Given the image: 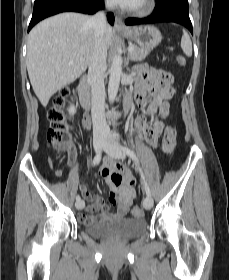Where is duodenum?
Here are the masks:
<instances>
[{"instance_id": "duodenum-1", "label": "duodenum", "mask_w": 229, "mask_h": 280, "mask_svg": "<svg viewBox=\"0 0 229 280\" xmlns=\"http://www.w3.org/2000/svg\"><path fill=\"white\" fill-rule=\"evenodd\" d=\"M78 96H79V101H80L81 106L83 108H85L86 110H88L91 105V86L87 80L86 75H83L81 77V82L78 87ZM129 109H130V98H127L125 100L126 112H128ZM86 122H87V118H86Z\"/></svg>"}]
</instances>
